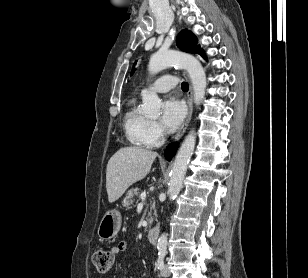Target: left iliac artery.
<instances>
[{
  "mask_svg": "<svg viewBox=\"0 0 308 278\" xmlns=\"http://www.w3.org/2000/svg\"><path fill=\"white\" fill-rule=\"evenodd\" d=\"M166 249L165 248H159V253H158V260H157V268L159 270H162L164 268V257L166 255Z\"/></svg>",
  "mask_w": 308,
  "mask_h": 278,
  "instance_id": "1",
  "label": "left iliac artery"
}]
</instances>
